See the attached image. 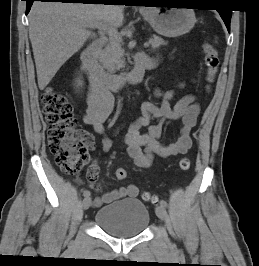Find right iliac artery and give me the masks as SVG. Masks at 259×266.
<instances>
[{
  "label": "right iliac artery",
  "instance_id": "obj_1",
  "mask_svg": "<svg viewBox=\"0 0 259 266\" xmlns=\"http://www.w3.org/2000/svg\"><path fill=\"white\" fill-rule=\"evenodd\" d=\"M83 195H84L85 198H89V197H90V191L85 190V191L83 192Z\"/></svg>",
  "mask_w": 259,
  "mask_h": 266
}]
</instances>
